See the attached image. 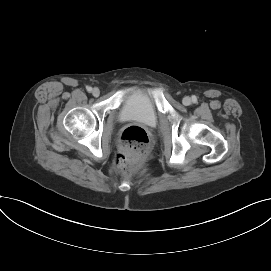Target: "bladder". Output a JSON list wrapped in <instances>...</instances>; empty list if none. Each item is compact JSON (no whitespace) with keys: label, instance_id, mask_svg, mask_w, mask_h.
<instances>
[{"label":"bladder","instance_id":"obj_1","mask_svg":"<svg viewBox=\"0 0 271 271\" xmlns=\"http://www.w3.org/2000/svg\"><path fill=\"white\" fill-rule=\"evenodd\" d=\"M121 121H136L147 126L158 122V111L152 98L145 92H134L126 96L118 113Z\"/></svg>","mask_w":271,"mask_h":271}]
</instances>
